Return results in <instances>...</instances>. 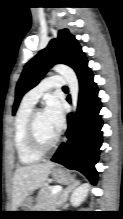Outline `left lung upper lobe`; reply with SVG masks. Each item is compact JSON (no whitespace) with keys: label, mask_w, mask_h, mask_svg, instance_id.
<instances>
[{"label":"left lung upper lobe","mask_w":123,"mask_h":219,"mask_svg":"<svg viewBox=\"0 0 123 219\" xmlns=\"http://www.w3.org/2000/svg\"><path fill=\"white\" fill-rule=\"evenodd\" d=\"M86 60L77 40L67 29L60 30L58 38L33 57L24 67L16 86L13 114L23 95L35 87L54 64L64 63L74 70Z\"/></svg>","instance_id":"5c2ea615"}]
</instances>
